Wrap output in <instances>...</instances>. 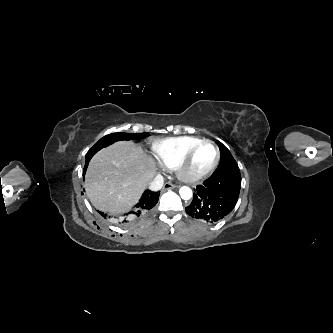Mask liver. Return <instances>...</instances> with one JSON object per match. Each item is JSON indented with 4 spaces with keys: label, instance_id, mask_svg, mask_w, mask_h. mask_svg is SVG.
Returning a JSON list of instances; mask_svg holds the SVG:
<instances>
[{
    "label": "liver",
    "instance_id": "6515ba94",
    "mask_svg": "<svg viewBox=\"0 0 333 333\" xmlns=\"http://www.w3.org/2000/svg\"><path fill=\"white\" fill-rule=\"evenodd\" d=\"M154 174V161L141 147L120 141L92 157L85 189L96 209L119 214L138 202Z\"/></svg>",
    "mask_w": 333,
    "mask_h": 333
}]
</instances>
